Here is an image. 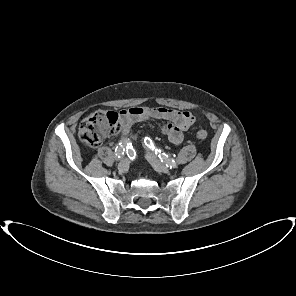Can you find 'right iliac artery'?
Wrapping results in <instances>:
<instances>
[{"label":"right iliac artery","instance_id":"1","mask_svg":"<svg viewBox=\"0 0 296 296\" xmlns=\"http://www.w3.org/2000/svg\"><path fill=\"white\" fill-rule=\"evenodd\" d=\"M125 145L119 143L115 149L116 157L120 158L124 154Z\"/></svg>","mask_w":296,"mask_h":296}]
</instances>
